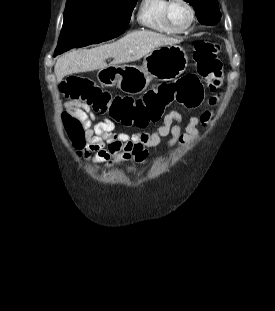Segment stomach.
<instances>
[{"mask_svg": "<svg viewBox=\"0 0 275 311\" xmlns=\"http://www.w3.org/2000/svg\"><path fill=\"white\" fill-rule=\"evenodd\" d=\"M188 65L186 51L179 45H163L143 60L141 67L135 65H111L97 73V79L104 86H117L130 95L144 91L153 78L170 81L180 76Z\"/></svg>", "mask_w": 275, "mask_h": 311, "instance_id": "1", "label": "stomach"}]
</instances>
